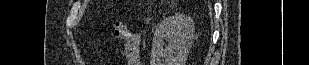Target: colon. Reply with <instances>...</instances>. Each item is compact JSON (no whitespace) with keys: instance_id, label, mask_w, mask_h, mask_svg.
Listing matches in <instances>:
<instances>
[{"instance_id":"1","label":"colon","mask_w":309,"mask_h":65,"mask_svg":"<svg viewBox=\"0 0 309 65\" xmlns=\"http://www.w3.org/2000/svg\"><path fill=\"white\" fill-rule=\"evenodd\" d=\"M110 37L114 40H121L124 39L127 35V30L125 26L119 22L118 20L114 19L110 30H109Z\"/></svg>"}]
</instances>
